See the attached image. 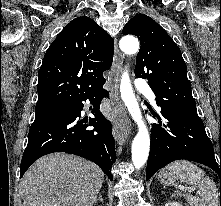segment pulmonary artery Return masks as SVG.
<instances>
[{"label": "pulmonary artery", "instance_id": "pulmonary-artery-1", "mask_svg": "<svg viewBox=\"0 0 221 206\" xmlns=\"http://www.w3.org/2000/svg\"><path fill=\"white\" fill-rule=\"evenodd\" d=\"M135 87L136 89H138L139 91L143 92L148 99L151 101L152 104H156V97L154 92L151 90L150 86L148 85V83L143 80V79H136L135 80Z\"/></svg>", "mask_w": 221, "mask_h": 206}]
</instances>
